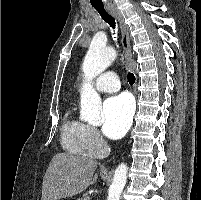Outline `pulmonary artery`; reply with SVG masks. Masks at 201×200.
Returning <instances> with one entry per match:
<instances>
[{
  "label": "pulmonary artery",
  "mask_w": 201,
  "mask_h": 200,
  "mask_svg": "<svg viewBox=\"0 0 201 200\" xmlns=\"http://www.w3.org/2000/svg\"><path fill=\"white\" fill-rule=\"evenodd\" d=\"M95 87L103 93L117 92L120 89L119 78L112 71L102 73L95 80Z\"/></svg>",
  "instance_id": "pulmonary-artery-1"
}]
</instances>
